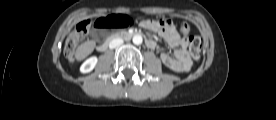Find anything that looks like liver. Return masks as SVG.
I'll use <instances>...</instances> for the list:
<instances>
[{
    "mask_svg": "<svg viewBox=\"0 0 276 120\" xmlns=\"http://www.w3.org/2000/svg\"><path fill=\"white\" fill-rule=\"evenodd\" d=\"M94 42L93 41H87L83 43L79 48L77 49L75 53V57L77 60L84 59L88 54H90L94 49Z\"/></svg>",
    "mask_w": 276,
    "mask_h": 120,
    "instance_id": "1",
    "label": "liver"
}]
</instances>
